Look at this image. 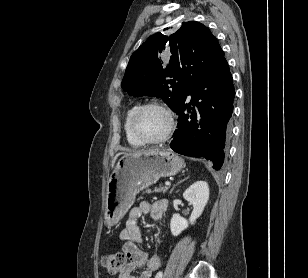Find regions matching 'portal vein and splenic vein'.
I'll return each mask as SVG.
<instances>
[{"instance_id": "18ae733b", "label": "portal vein and splenic vein", "mask_w": 308, "mask_h": 278, "mask_svg": "<svg viewBox=\"0 0 308 278\" xmlns=\"http://www.w3.org/2000/svg\"><path fill=\"white\" fill-rule=\"evenodd\" d=\"M165 185H166V186H170L171 183L167 181V182L165 183Z\"/></svg>"}]
</instances>
